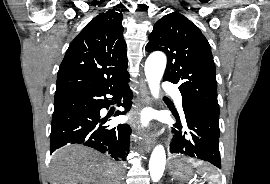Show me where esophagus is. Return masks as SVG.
Segmentation results:
<instances>
[{
    "instance_id": "esophagus-1",
    "label": "esophagus",
    "mask_w": 270,
    "mask_h": 184,
    "mask_svg": "<svg viewBox=\"0 0 270 184\" xmlns=\"http://www.w3.org/2000/svg\"><path fill=\"white\" fill-rule=\"evenodd\" d=\"M140 104L141 106H149L151 104V98L149 95V91L146 85L145 80H141V88H140ZM144 137V150L146 152H150L153 147V132L149 130H144L142 132Z\"/></svg>"
}]
</instances>
